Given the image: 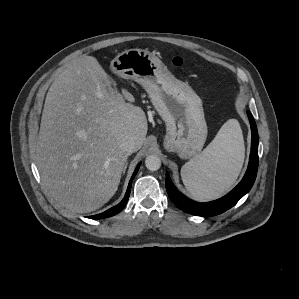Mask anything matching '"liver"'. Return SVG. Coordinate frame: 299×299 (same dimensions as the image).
Segmentation results:
<instances>
[{
  "label": "liver",
  "instance_id": "liver-1",
  "mask_svg": "<svg viewBox=\"0 0 299 299\" xmlns=\"http://www.w3.org/2000/svg\"><path fill=\"white\" fill-rule=\"evenodd\" d=\"M93 56L75 59L46 95L36 163L49 194L63 207L95 211L118 189L134 140L138 151L148 130L143 109L126 103Z\"/></svg>",
  "mask_w": 299,
  "mask_h": 299
}]
</instances>
